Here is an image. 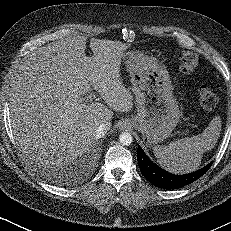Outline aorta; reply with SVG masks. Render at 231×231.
<instances>
[{
	"instance_id": "obj_1",
	"label": "aorta",
	"mask_w": 231,
	"mask_h": 231,
	"mask_svg": "<svg viewBox=\"0 0 231 231\" xmlns=\"http://www.w3.org/2000/svg\"><path fill=\"white\" fill-rule=\"evenodd\" d=\"M119 141L122 145H130L133 142V137L129 132H122L119 136Z\"/></svg>"
}]
</instances>
